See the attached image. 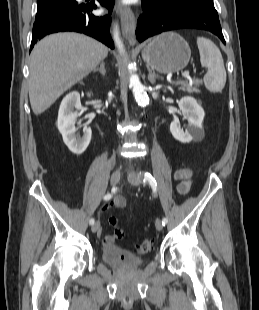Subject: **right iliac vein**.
Here are the masks:
<instances>
[{
    "label": "right iliac vein",
    "mask_w": 259,
    "mask_h": 310,
    "mask_svg": "<svg viewBox=\"0 0 259 310\" xmlns=\"http://www.w3.org/2000/svg\"><path fill=\"white\" fill-rule=\"evenodd\" d=\"M120 178H121V172L120 170H116L112 173L111 177H110V183L111 185H116L119 181H120ZM100 227V223L97 221L93 224L91 230L93 233L97 232L98 229Z\"/></svg>",
    "instance_id": "right-iliac-vein-1"
}]
</instances>
